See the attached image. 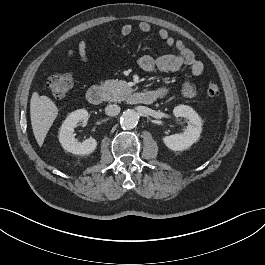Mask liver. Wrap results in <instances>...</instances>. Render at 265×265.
Returning a JSON list of instances; mask_svg holds the SVG:
<instances>
[{
	"instance_id": "liver-1",
	"label": "liver",
	"mask_w": 265,
	"mask_h": 265,
	"mask_svg": "<svg viewBox=\"0 0 265 265\" xmlns=\"http://www.w3.org/2000/svg\"><path fill=\"white\" fill-rule=\"evenodd\" d=\"M57 115L58 108L49 97L39 96L37 92H33L30 101V118L35 139L40 147Z\"/></svg>"
}]
</instances>
